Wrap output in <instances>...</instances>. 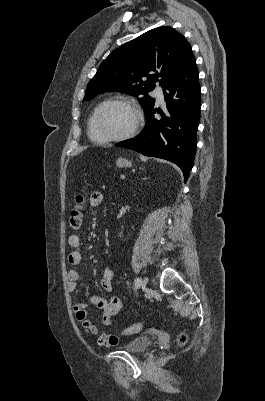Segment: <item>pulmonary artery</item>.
<instances>
[{
	"label": "pulmonary artery",
	"mask_w": 265,
	"mask_h": 401,
	"mask_svg": "<svg viewBox=\"0 0 265 401\" xmlns=\"http://www.w3.org/2000/svg\"><path fill=\"white\" fill-rule=\"evenodd\" d=\"M154 96L157 98V101L159 103H163L164 97H163V92L160 88H156L153 92Z\"/></svg>",
	"instance_id": "pulmonary-artery-1"
}]
</instances>
